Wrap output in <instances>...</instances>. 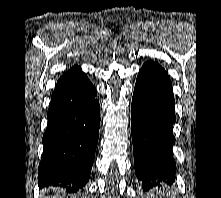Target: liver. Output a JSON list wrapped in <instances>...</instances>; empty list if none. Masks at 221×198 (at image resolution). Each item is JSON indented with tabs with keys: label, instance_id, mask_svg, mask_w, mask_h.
Returning a JSON list of instances; mask_svg holds the SVG:
<instances>
[{
	"label": "liver",
	"instance_id": "obj_1",
	"mask_svg": "<svg viewBox=\"0 0 221 198\" xmlns=\"http://www.w3.org/2000/svg\"><path fill=\"white\" fill-rule=\"evenodd\" d=\"M47 198H50V197H47ZM53 198H59V197H58V196H56V195H54V196H53ZM60 198H61V197H60Z\"/></svg>",
	"mask_w": 221,
	"mask_h": 198
}]
</instances>
